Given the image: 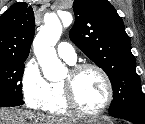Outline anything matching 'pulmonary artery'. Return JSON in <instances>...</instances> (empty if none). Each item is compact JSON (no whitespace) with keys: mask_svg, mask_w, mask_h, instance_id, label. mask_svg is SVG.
Instances as JSON below:
<instances>
[{"mask_svg":"<svg viewBox=\"0 0 145 124\" xmlns=\"http://www.w3.org/2000/svg\"><path fill=\"white\" fill-rule=\"evenodd\" d=\"M57 53L69 63H74L77 59L74 47L68 42H61L57 47Z\"/></svg>","mask_w":145,"mask_h":124,"instance_id":"pulmonary-artery-1","label":"pulmonary artery"}]
</instances>
